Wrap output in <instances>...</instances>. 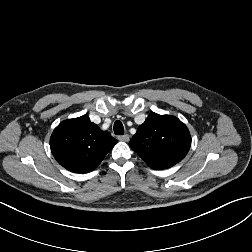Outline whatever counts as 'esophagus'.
<instances>
[{
    "instance_id": "esophagus-1",
    "label": "esophagus",
    "mask_w": 252,
    "mask_h": 252,
    "mask_svg": "<svg viewBox=\"0 0 252 252\" xmlns=\"http://www.w3.org/2000/svg\"><path fill=\"white\" fill-rule=\"evenodd\" d=\"M119 140L128 142L130 140V136L128 134L122 135L118 137Z\"/></svg>"
}]
</instances>
